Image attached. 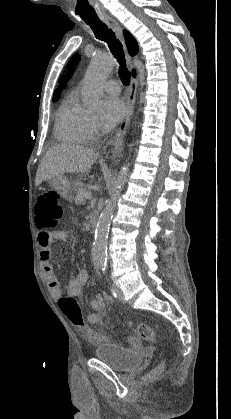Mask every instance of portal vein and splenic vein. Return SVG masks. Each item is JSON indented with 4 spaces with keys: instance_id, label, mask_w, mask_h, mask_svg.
I'll use <instances>...</instances> for the list:
<instances>
[{
    "instance_id": "portal-vein-and-splenic-vein-1",
    "label": "portal vein and splenic vein",
    "mask_w": 231,
    "mask_h": 419,
    "mask_svg": "<svg viewBox=\"0 0 231 419\" xmlns=\"http://www.w3.org/2000/svg\"><path fill=\"white\" fill-rule=\"evenodd\" d=\"M84 196H85L86 199H90L92 197V194H91V192H86L84 194Z\"/></svg>"
}]
</instances>
